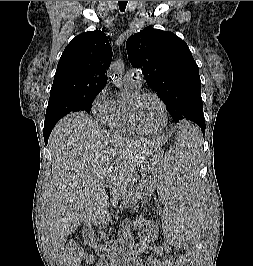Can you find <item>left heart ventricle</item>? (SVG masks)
I'll use <instances>...</instances> for the list:
<instances>
[{
  "label": "left heart ventricle",
  "mask_w": 253,
  "mask_h": 266,
  "mask_svg": "<svg viewBox=\"0 0 253 266\" xmlns=\"http://www.w3.org/2000/svg\"><path fill=\"white\" fill-rule=\"evenodd\" d=\"M138 117L141 125L148 130H158L163 126L164 113L157 99L148 96L138 106Z\"/></svg>",
  "instance_id": "1"
}]
</instances>
